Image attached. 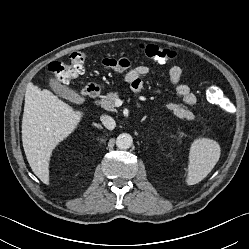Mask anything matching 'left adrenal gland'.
Masks as SVG:
<instances>
[{
  "mask_svg": "<svg viewBox=\"0 0 249 249\" xmlns=\"http://www.w3.org/2000/svg\"><path fill=\"white\" fill-rule=\"evenodd\" d=\"M145 119H146V116H144V117L142 118L141 122H143Z\"/></svg>",
  "mask_w": 249,
  "mask_h": 249,
  "instance_id": "a2214340",
  "label": "left adrenal gland"
}]
</instances>
